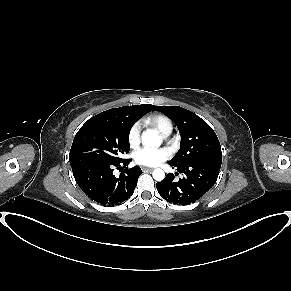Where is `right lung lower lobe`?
Returning a JSON list of instances; mask_svg holds the SVG:
<instances>
[{"label":"right lung lower lobe","mask_w":291,"mask_h":291,"mask_svg":"<svg viewBox=\"0 0 291 291\" xmlns=\"http://www.w3.org/2000/svg\"><path fill=\"white\" fill-rule=\"evenodd\" d=\"M130 159L119 162H89L72 167L75 181L82 191L95 202L104 206L120 205L134 192L137 179L142 173L139 166L125 169L119 178L113 175V167H126Z\"/></svg>","instance_id":"1"}]
</instances>
